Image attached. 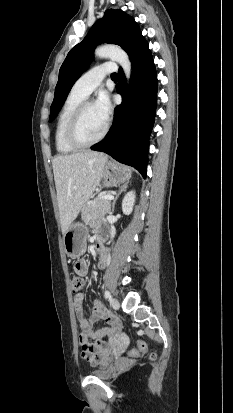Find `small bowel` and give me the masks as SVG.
<instances>
[{
    "label": "small bowel",
    "instance_id": "c3829d8e",
    "mask_svg": "<svg viewBox=\"0 0 233 413\" xmlns=\"http://www.w3.org/2000/svg\"><path fill=\"white\" fill-rule=\"evenodd\" d=\"M93 226L97 229L100 227L98 222H94ZM102 251L106 263L107 251L104 247H102ZM73 268L75 274L84 276L88 273V265L83 260L75 261ZM73 300L75 313L81 328L79 335L82 349L81 356L90 365L103 367L110 363L119 346V319L100 301L93 302L91 315L86 318L82 308L84 294L81 292L75 293ZM99 320H104L105 326L94 329V324Z\"/></svg>",
    "mask_w": 233,
    "mask_h": 413
}]
</instances>
